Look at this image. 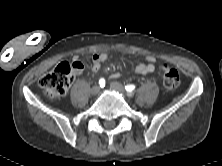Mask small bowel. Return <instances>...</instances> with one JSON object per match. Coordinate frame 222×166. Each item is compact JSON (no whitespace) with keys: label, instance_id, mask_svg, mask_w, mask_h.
<instances>
[{"label":"small bowel","instance_id":"small-bowel-1","mask_svg":"<svg viewBox=\"0 0 222 166\" xmlns=\"http://www.w3.org/2000/svg\"><path fill=\"white\" fill-rule=\"evenodd\" d=\"M108 59V55L104 52L95 53L92 56V70L93 72L100 71L102 64ZM155 62L156 59L153 56H148L146 62H142L136 65L135 72L139 75H146L155 71ZM73 63H79L82 65L78 57L73 58ZM83 68V65H82ZM82 68L76 70V73H80ZM119 73L112 74V78H118Z\"/></svg>","mask_w":222,"mask_h":166}]
</instances>
